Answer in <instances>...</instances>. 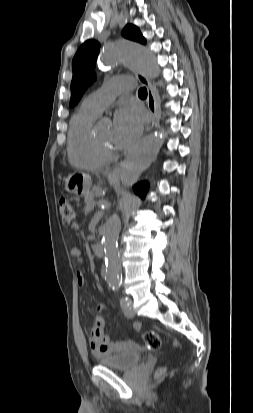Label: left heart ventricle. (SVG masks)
<instances>
[{
	"label": "left heart ventricle",
	"mask_w": 253,
	"mask_h": 413,
	"mask_svg": "<svg viewBox=\"0 0 253 413\" xmlns=\"http://www.w3.org/2000/svg\"><path fill=\"white\" fill-rule=\"evenodd\" d=\"M97 135L99 139L107 146L114 148L112 137V128L110 125H99L97 127Z\"/></svg>",
	"instance_id": "obj_1"
}]
</instances>
